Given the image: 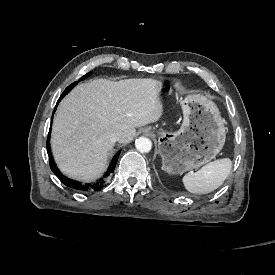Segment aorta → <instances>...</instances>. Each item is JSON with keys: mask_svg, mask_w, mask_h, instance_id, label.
Instances as JSON below:
<instances>
[{"mask_svg": "<svg viewBox=\"0 0 275 275\" xmlns=\"http://www.w3.org/2000/svg\"><path fill=\"white\" fill-rule=\"evenodd\" d=\"M135 147L141 153H148L152 148V142L147 137H139L135 141Z\"/></svg>", "mask_w": 275, "mask_h": 275, "instance_id": "1", "label": "aorta"}]
</instances>
